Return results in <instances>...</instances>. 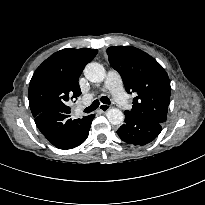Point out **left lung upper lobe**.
I'll return each mask as SVG.
<instances>
[{"label": "left lung upper lobe", "mask_w": 205, "mask_h": 205, "mask_svg": "<svg viewBox=\"0 0 205 205\" xmlns=\"http://www.w3.org/2000/svg\"><path fill=\"white\" fill-rule=\"evenodd\" d=\"M109 62L134 93L133 107L125 113L164 123L170 103V80L164 68L150 55L132 46L107 49Z\"/></svg>", "instance_id": "left-lung-upper-lobe-1"}]
</instances>
